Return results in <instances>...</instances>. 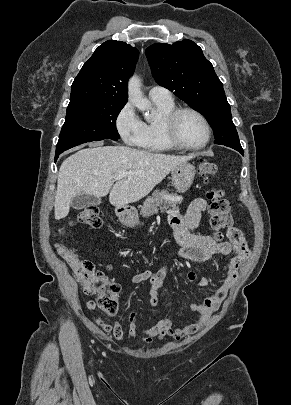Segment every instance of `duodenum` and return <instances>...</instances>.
Masks as SVG:
<instances>
[{
    "instance_id": "duodenum-1",
    "label": "duodenum",
    "mask_w": 291,
    "mask_h": 405,
    "mask_svg": "<svg viewBox=\"0 0 291 405\" xmlns=\"http://www.w3.org/2000/svg\"><path fill=\"white\" fill-rule=\"evenodd\" d=\"M129 212H130V208H128V207L120 209V213L122 216H126Z\"/></svg>"
}]
</instances>
